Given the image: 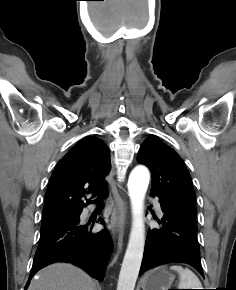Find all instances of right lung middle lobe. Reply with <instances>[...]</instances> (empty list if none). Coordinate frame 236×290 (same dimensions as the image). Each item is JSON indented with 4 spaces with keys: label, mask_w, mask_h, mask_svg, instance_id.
<instances>
[{
    "label": "right lung middle lobe",
    "mask_w": 236,
    "mask_h": 290,
    "mask_svg": "<svg viewBox=\"0 0 236 290\" xmlns=\"http://www.w3.org/2000/svg\"><path fill=\"white\" fill-rule=\"evenodd\" d=\"M80 218V212H70L57 215L43 216L41 232L69 224Z\"/></svg>",
    "instance_id": "obj_1"
}]
</instances>
